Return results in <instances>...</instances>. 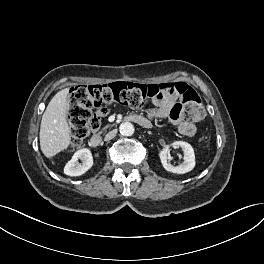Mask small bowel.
Instances as JSON below:
<instances>
[{
  "label": "small bowel",
  "mask_w": 264,
  "mask_h": 264,
  "mask_svg": "<svg viewBox=\"0 0 264 264\" xmlns=\"http://www.w3.org/2000/svg\"><path fill=\"white\" fill-rule=\"evenodd\" d=\"M177 94L165 95L160 99L154 100L153 104L155 109L149 111L144 117L151 123L158 119H169L174 123L178 131L185 136L191 137L196 133V126L193 123L182 120L180 112V103ZM106 113L103 112L100 116H104Z\"/></svg>",
  "instance_id": "small-bowel-1"
}]
</instances>
